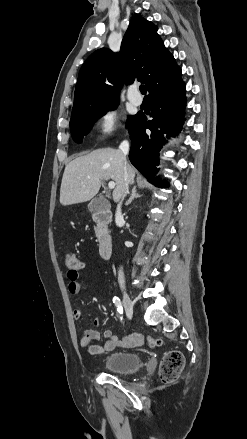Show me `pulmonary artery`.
Segmentation results:
<instances>
[{"label": "pulmonary artery", "instance_id": "1", "mask_svg": "<svg viewBox=\"0 0 247 439\" xmlns=\"http://www.w3.org/2000/svg\"><path fill=\"white\" fill-rule=\"evenodd\" d=\"M127 97L129 99V101L131 103H133L134 105H141L142 103V98L136 94L135 89L132 88L128 91Z\"/></svg>", "mask_w": 247, "mask_h": 439}]
</instances>
